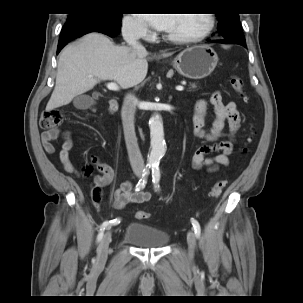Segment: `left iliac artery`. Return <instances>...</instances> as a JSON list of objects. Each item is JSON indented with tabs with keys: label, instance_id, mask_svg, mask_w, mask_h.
Returning a JSON list of instances; mask_svg holds the SVG:
<instances>
[{
	"label": "left iliac artery",
	"instance_id": "44dca946",
	"mask_svg": "<svg viewBox=\"0 0 303 303\" xmlns=\"http://www.w3.org/2000/svg\"><path fill=\"white\" fill-rule=\"evenodd\" d=\"M160 176H161L160 169H159L158 165L153 166L152 167V182H153L156 190H158V188H159ZM191 223L193 225L196 237L199 238V236L201 234V228H200L198 221L195 220L194 218H192Z\"/></svg>",
	"mask_w": 303,
	"mask_h": 303
}]
</instances>
